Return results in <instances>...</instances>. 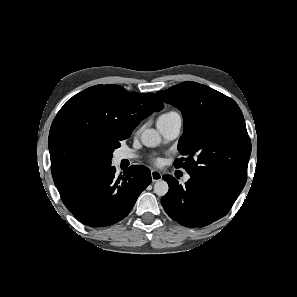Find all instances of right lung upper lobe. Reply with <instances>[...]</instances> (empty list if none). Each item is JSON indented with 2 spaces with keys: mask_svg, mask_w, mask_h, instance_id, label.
Returning a JSON list of instances; mask_svg holds the SVG:
<instances>
[{
  "mask_svg": "<svg viewBox=\"0 0 297 297\" xmlns=\"http://www.w3.org/2000/svg\"><path fill=\"white\" fill-rule=\"evenodd\" d=\"M163 107L154 93L128 92L112 84L87 88L69 99L49 132L51 170L62 201L108 169L120 142Z\"/></svg>",
  "mask_w": 297,
  "mask_h": 297,
  "instance_id": "right-lung-upper-lobe-1",
  "label": "right lung upper lobe"
}]
</instances>
